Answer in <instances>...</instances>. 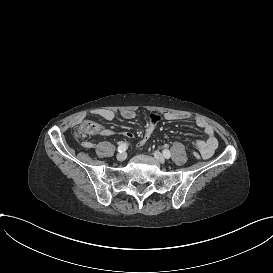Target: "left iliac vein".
Returning a JSON list of instances; mask_svg holds the SVG:
<instances>
[{"instance_id":"1","label":"left iliac vein","mask_w":273,"mask_h":273,"mask_svg":"<svg viewBox=\"0 0 273 273\" xmlns=\"http://www.w3.org/2000/svg\"><path fill=\"white\" fill-rule=\"evenodd\" d=\"M154 157L159 163L161 164L165 163V158L159 151L154 152Z\"/></svg>"}]
</instances>
